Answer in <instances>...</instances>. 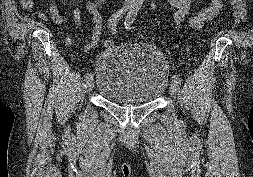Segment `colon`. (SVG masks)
<instances>
[{
    "instance_id": "1",
    "label": "colon",
    "mask_w": 253,
    "mask_h": 177,
    "mask_svg": "<svg viewBox=\"0 0 253 177\" xmlns=\"http://www.w3.org/2000/svg\"><path fill=\"white\" fill-rule=\"evenodd\" d=\"M233 6L232 16L236 24H242L246 20L247 8L245 0H231ZM105 47L110 48L114 46V39L112 35L106 34L103 39Z\"/></svg>"
}]
</instances>
